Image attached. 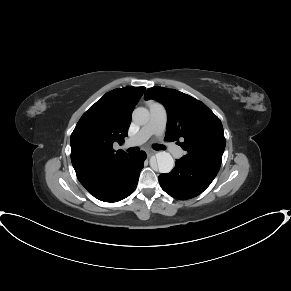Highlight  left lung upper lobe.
Segmentation results:
<instances>
[{
	"label": "left lung upper lobe",
	"mask_w": 291,
	"mask_h": 291,
	"mask_svg": "<svg viewBox=\"0 0 291 291\" xmlns=\"http://www.w3.org/2000/svg\"><path fill=\"white\" fill-rule=\"evenodd\" d=\"M144 99L161 102L168 114L165 138L182 139L187 152L183 158L220 167L225 149L223 126L219 118L201 101L174 89L152 87Z\"/></svg>",
	"instance_id": "5c2ea615"
}]
</instances>
